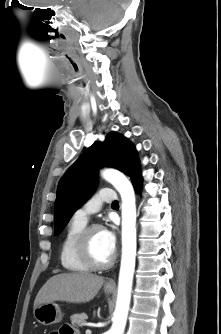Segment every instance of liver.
<instances>
[{
    "label": "liver",
    "mask_w": 221,
    "mask_h": 334,
    "mask_svg": "<svg viewBox=\"0 0 221 334\" xmlns=\"http://www.w3.org/2000/svg\"><path fill=\"white\" fill-rule=\"evenodd\" d=\"M104 278L91 273H62L51 277L39 290L34 309L54 301L85 303L99 292Z\"/></svg>",
    "instance_id": "obj_1"
}]
</instances>
